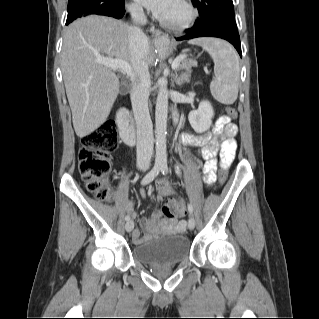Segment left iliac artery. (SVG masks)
<instances>
[{"instance_id": "44dca946", "label": "left iliac artery", "mask_w": 319, "mask_h": 319, "mask_svg": "<svg viewBox=\"0 0 319 319\" xmlns=\"http://www.w3.org/2000/svg\"><path fill=\"white\" fill-rule=\"evenodd\" d=\"M161 172L163 174L168 173V166H167L166 162L161 163ZM188 211L190 212V214H193L194 209H193L192 204H190V203L188 204Z\"/></svg>"}]
</instances>
